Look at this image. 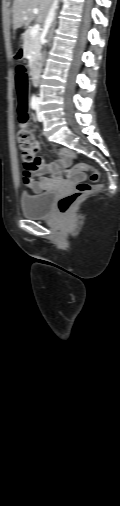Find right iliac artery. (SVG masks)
<instances>
[{"label":"right iliac artery","instance_id":"obj_1","mask_svg":"<svg viewBox=\"0 0 120 506\" xmlns=\"http://www.w3.org/2000/svg\"><path fill=\"white\" fill-rule=\"evenodd\" d=\"M37 105H38L37 98L35 96H32V99H31V108L33 110H36L37 109Z\"/></svg>","mask_w":120,"mask_h":506}]
</instances>
